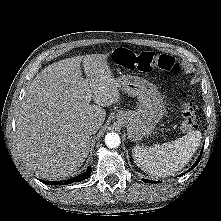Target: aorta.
<instances>
[{"instance_id": "762f6f07", "label": "aorta", "mask_w": 221, "mask_h": 221, "mask_svg": "<svg viewBox=\"0 0 221 221\" xmlns=\"http://www.w3.org/2000/svg\"><path fill=\"white\" fill-rule=\"evenodd\" d=\"M105 144L109 148H116L120 145V137L117 133H107L105 136Z\"/></svg>"}]
</instances>
